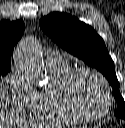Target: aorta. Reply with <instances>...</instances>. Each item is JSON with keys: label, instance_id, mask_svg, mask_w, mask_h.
<instances>
[{"label": "aorta", "instance_id": "obj_1", "mask_svg": "<svg viewBox=\"0 0 125 128\" xmlns=\"http://www.w3.org/2000/svg\"><path fill=\"white\" fill-rule=\"evenodd\" d=\"M15 61L22 69L26 70L37 83H46L47 72L41 61L37 43L34 39L29 38L19 44L15 52Z\"/></svg>", "mask_w": 125, "mask_h": 128}]
</instances>
